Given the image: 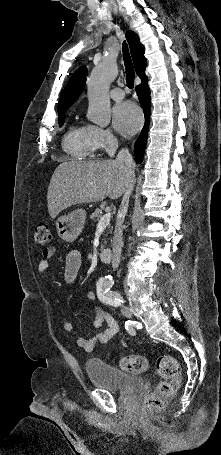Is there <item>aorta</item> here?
<instances>
[{"label":"aorta","mask_w":221,"mask_h":455,"mask_svg":"<svg viewBox=\"0 0 221 455\" xmlns=\"http://www.w3.org/2000/svg\"><path fill=\"white\" fill-rule=\"evenodd\" d=\"M116 64L111 60H105L96 67L88 80V119L99 125L107 126L111 119V106L109 98V86L117 77ZM107 283L111 282L109 277L105 278Z\"/></svg>","instance_id":"obj_1"}]
</instances>
